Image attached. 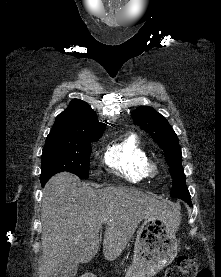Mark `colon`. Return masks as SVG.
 I'll use <instances>...</instances> for the list:
<instances>
[{
    "mask_svg": "<svg viewBox=\"0 0 221 277\" xmlns=\"http://www.w3.org/2000/svg\"><path fill=\"white\" fill-rule=\"evenodd\" d=\"M165 277H211V273L208 269H198L194 258L180 256L176 264L167 270Z\"/></svg>",
    "mask_w": 221,
    "mask_h": 277,
    "instance_id": "1",
    "label": "colon"
}]
</instances>
